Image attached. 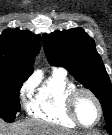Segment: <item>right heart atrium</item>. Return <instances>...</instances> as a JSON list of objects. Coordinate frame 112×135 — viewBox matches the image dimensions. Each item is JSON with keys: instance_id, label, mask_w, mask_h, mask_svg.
<instances>
[{"instance_id": "right-heart-atrium-1", "label": "right heart atrium", "mask_w": 112, "mask_h": 135, "mask_svg": "<svg viewBox=\"0 0 112 135\" xmlns=\"http://www.w3.org/2000/svg\"><path fill=\"white\" fill-rule=\"evenodd\" d=\"M33 87L34 82L32 79H29L22 84L19 90V96L23 101L30 96L33 91Z\"/></svg>"}]
</instances>
